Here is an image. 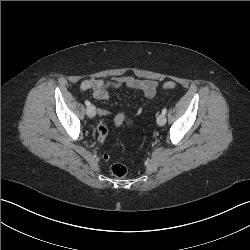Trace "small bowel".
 <instances>
[{
	"label": "small bowel",
	"instance_id": "obj_1",
	"mask_svg": "<svg viewBox=\"0 0 250 250\" xmlns=\"http://www.w3.org/2000/svg\"><path fill=\"white\" fill-rule=\"evenodd\" d=\"M157 86L158 83L154 80L139 79L132 76H117L109 80H84L80 84V90H91L95 99L107 100L112 90L125 87L129 89L138 90L142 92L146 98L151 99L156 94ZM141 112V110H138L137 115L141 114ZM99 114L101 116H105L107 112L105 110H100Z\"/></svg>",
	"mask_w": 250,
	"mask_h": 250
}]
</instances>
